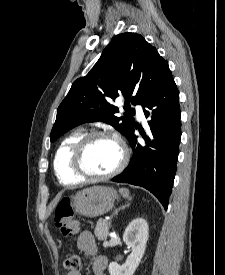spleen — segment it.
Here are the masks:
<instances>
[{
    "mask_svg": "<svg viewBox=\"0 0 225 275\" xmlns=\"http://www.w3.org/2000/svg\"><path fill=\"white\" fill-rule=\"evenodd\" d=\"M119 192L121 193V195H122L124 198H129V190H128V189L121 188V189H119Z\"/></svg>",
    "mask_w": 225,
    "mask_h": 275,
    "instance_id": "1",
    "label": "spleen"
}]
</instances>
